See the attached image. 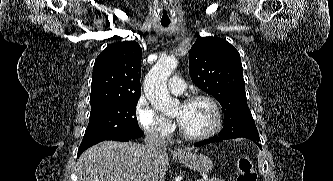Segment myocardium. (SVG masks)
Here are the masks:
<instances>
[{
    "label": "myocardium",
    "instance_id": "obj_1",
    "mask_svg": "<svg viewBox=\"0 0 333 181\" xmlns=\"http://www.w3.org/2000/svg\"><path fill=\"white\" fill-rule=\"evenodd\" d=\"M196 101H205L211 106L213 115H214L213 124L209 130H207L206 132L201 133V134H190V133L186 132L183 129V127L180 125V133L185 139L192 140V141H201V140H205V139L213 136L214 134H216L218 132V130L221 127V123H222V114H221V109H220L218 102L209 95H204V94L193 95V96L185 99L182 102V104H190V103H193Z\"/></svg>",
    "mask_w": 333,
    "mask_h": 181
}]
</instances>
